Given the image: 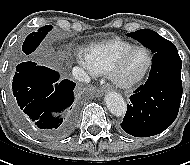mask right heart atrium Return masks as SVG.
I'll return each mask as SVG.
<instances>
[{
	"label": "right heart atrium",
	"instance_id": "1",
	"mask_svg": "<svg viewBox=\"0 0 190 165\" xmlns=\"http://www.w3.org/2000/svg\"><path fill=\"white\" fill-rule=\"evenodd\" d=\"M78 61H79L80 64H82L83 66L88 68L84 55H79L78 56Z\"/></svg>",
	"mask_w": 190,
	"mask_h": 165
}]
</instances>
